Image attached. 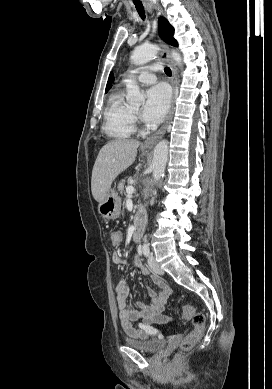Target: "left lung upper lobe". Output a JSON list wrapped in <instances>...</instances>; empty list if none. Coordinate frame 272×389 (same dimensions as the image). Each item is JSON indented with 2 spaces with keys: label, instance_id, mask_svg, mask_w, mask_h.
Wrapping results in <instances>:
<instances>
[{
  "label": "left lung upper lobe",
  "instance_id": "5c2ea615",
  "mask_svg": "<svg viewBox=\"0 0 272 389\" xmlns=\"http://www.w3.org/2000/svg\"><path fill=\"white\" fill-rule=\"evenodd\" d=\"M159 23V36L167 43L177 46V41L173 38L174 29L169 24L166 18L160 17L158 19Z\"/></svg>",
  "mask_w": 272,
  "mask_h": 389
}]
</instances>
